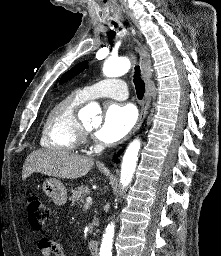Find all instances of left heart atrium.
<instances>
[{
  "mask_svg": "<svg viewBox=\"0 0 221 256\" xmlns=\"http://www.w3.org/2000/svg\"><path fill=\"white\" fill-rule=\"evenodd\" d=\"M136 117L132 106L112 103L106 108L103 123L95 136L101 142L115 143L131 130Z\"/></svg>",
  "mask_w": 221,
  "mask_h": 256,
  "instance_id": "left-heart-atrium-1",
  "label": "left heart atrium"
}]
</instances>
